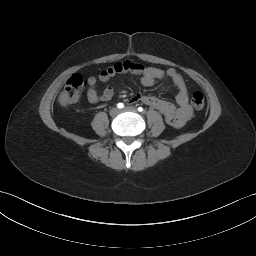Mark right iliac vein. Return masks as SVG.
<instances>
[{
  "label": "right iliac vein",
  "mask_w": 256,
  "mask_h": 256,
  "mask_svg": "<svg viewBox=\"0 0 256 256\" xmlns=\"http://www.w3.org/2000/svg\"><path fill=\"white\" fill-rule=\"evenodd\" d=\"M119 113H120V110L118 108H116V107L112 108L110 110V115L113 116V117L117 116Z\"/></svg>",
  "instance_id": "right-iliac-vein-1"
}]
</instances>
